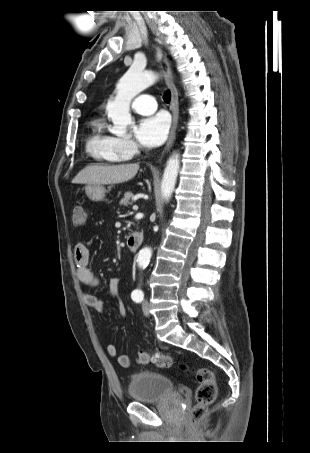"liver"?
Here are the masks:
<instances>
[{
	"label": "liver",
	"mask_w": 310,
	"mask_h": 453,
	"mask_svg": "<svg viewBox=\"0 0 310 453\" xmlns=\"http://www.w3.org/2000/svg\"><path fill=\"white\" fill-rule=\"evenodd\" d=\"M138 170L139 164H92L83 168L72 180V183L88 185L119 184L133 179Z\"/></svg>",
	"instance_id": "6515ba94"
}]
</instances>
